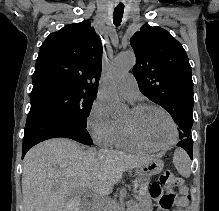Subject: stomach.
Listing matches in <instances>:
<instances>
[{"label": "stomach", "mask_w": 219, "mask_h": 211, "mask_svg": "<svg viewBox=\"0 0 219 211\" xmlns=\"http://www.w3.org/2000/svg\"><path fill=\"white\" fill-rule=\"evenodd\" d=\"M164 163L158 158H153L149 162L135 168V186L137 189V198L141 202L140 208L146 210L149 205V198L144 194L145 187L149 184L152 176L162 172Z\"/></svg>", "instance_id": "stomach-1"}]
</instances>
